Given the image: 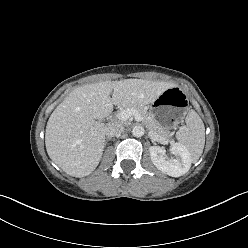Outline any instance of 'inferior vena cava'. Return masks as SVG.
<instances>
[{
	"label": "inferior vena cava",
	"mask_w": 248,
	"mask_h": 248,
	"mask_svg": "<svg viewBox=\"0 0 248 248\" xmlns=\"http://www.w3.org/2000/svg\"><path fill=\"white\" fill-rule=\"evenodd\" d=\"M123 131L124 126L117 122L108 123L104 128V133L108 138L120 135Z\"/></svg>",
	"instance_id": "1"
}]
</instances>
